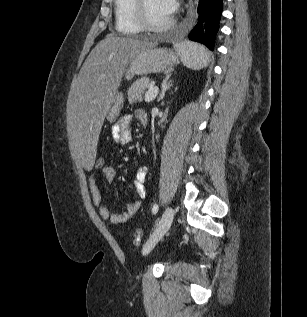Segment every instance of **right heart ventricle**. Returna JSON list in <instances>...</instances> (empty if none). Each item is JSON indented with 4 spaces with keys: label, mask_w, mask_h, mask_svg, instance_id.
Instances as JSON below:
<instances>
[{
    "label": "right heart ventricle",
    "mask_w": 307,
    "mask_h": 317,
    "mask_svg": "<svg viewBox=\"0 0 307 317\" xmlns=\"http://www.w3.org/2000/svg\"><path fill=\"white\" fill-rule=\"evenodd\" d=\"M133 5L134 0H114L115 28L120 34L130 35L141 31Z\"/></svg>",
    "instance_id": "right-heart-ventricle-1"
}]
</instances>
